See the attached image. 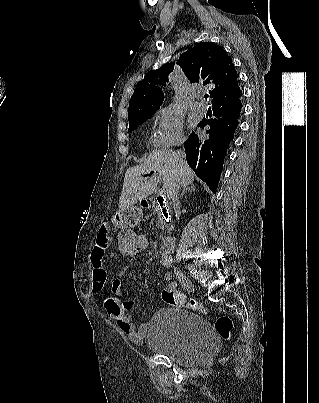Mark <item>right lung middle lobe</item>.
<instances>
[{
    "instance_id": "right-lung-middle-lobe-1",
    "label": "right lung middle lobe",
    "mask_w": 319,
    "mask_h": 403,
    "mask_svg": "<svg viewBox=\"0 0 319 403\" xmlns=\"http://www.w3.org/2000/svg\"><path fill=\"white\" fill-rule=\"evenodd\" d=\"M156 111H157V110L152 111V112H150V113H148V114L142 116L141 118H138V119H136V120L130 121V122H129V129H128V131L134 130L137 126H139L140 124H142L143 122H145L149 117H151V115H153Z\"/></svg>"
}]
</instances>
